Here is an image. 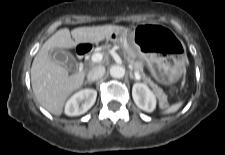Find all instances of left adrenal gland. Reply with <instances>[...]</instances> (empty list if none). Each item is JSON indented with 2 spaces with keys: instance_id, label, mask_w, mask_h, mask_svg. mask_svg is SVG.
I'll use <instances>...</instances> for the list:
<instances>
[{
  "instance_id": "obj_1",
  "label": "left adrenal gland",
  "mask_w": 225,
  "mask_h": 155,
  "mask_svg": "<svg viewBox=\"0 0 225 155\" xmlns=\"http://www.w3.org/2000/svg\"><path fill=\"white\" fill-rule=\"evenodd\" d=\"M129 74H130V78H131V79H133V80H135V81H138V80L134 77L132 71H130Z\"/></svg>"
}]
</instances>
